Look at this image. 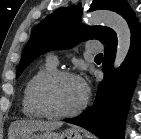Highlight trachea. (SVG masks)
I'll use <instances>...</instances> for the list:
<instances>
[{
    "label": "trachea",
    "instance_id": "3493384b",
    "mask_svg": "<svg viewBox=\"0 0 141 139\" xmlns=\"http://www.w3.org/2000/svg\"><path fill=\"white\" fill-rule=\"evenodd\" d=\"M102 57H103L102 54H98V55H96V58H102Z\"/></svg>",
    "mask_w": 141,
    "mask_h": 139
}]
</instances>
